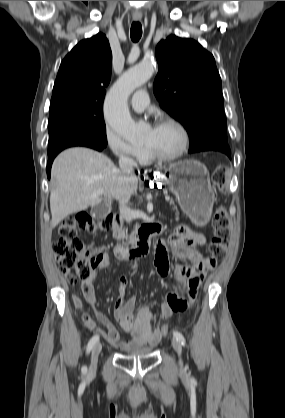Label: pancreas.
<instances>
[{
  "instance_id": "pancreas-1",
  "label": "pancreas",
  "mask_w": 285,
  "mask_h": 418,
  "mask_svg": "<svg viewBox=\"0 0 285 418\" xmlns=\"http://www.w3.org/2000/svg\"><path fill=\"white\" fill-rule=\"evenodd\" d=\"M171 203H173V200H171ZM174 208L177 210V207L174 205ZM137 227V226H136ZM120 237L123 240H126L129 243H135L136 242V235L135 232L131 233L130 235H128L127 230H123L120 234Z\"/></svg>"
}]
</instances>
